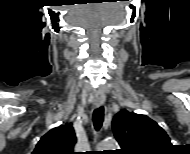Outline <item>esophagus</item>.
<instances>
[{
	"mask_svg": "<svg viewBox=\"0 0 190 154\" xmlns=\"http://www.w3.org/2000/svg\"><path fill=\"white\" fill-rule=\"evenodd\" d=\"M105 102V95L102 92H97L95 95V100H94V105L96 107H99L101 105H103Z\"/></svg>",
	"mask_w": 190,
	"mask_h": 154,
	"instance_id": "1",
	"label": "esophagus"
}]
</instances>
